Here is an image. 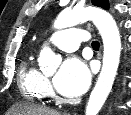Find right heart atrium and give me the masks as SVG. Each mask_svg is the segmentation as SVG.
Wrapping results in <instances>:
<instances>
[{"label": "right heart atrium", "mask_w": 131, "mask_h": 115, "mask_svg": "<svg viewBox=\"0 0 131 115\" xmlns=\"http://www.w3.org/2000/svg\"><path fill=\"white\" fill-rule=\"evenodd\" d=\"M44 89H45L46 93L50 92V85H49V82L46 79L44 81Z\"/></svg>", "instance_id": "d8ad5b80"}]
</instances>
